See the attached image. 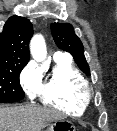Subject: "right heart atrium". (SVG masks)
Returning a JSON list of instances; mask_svg holds the SVG:
<instances>
[{"mask_svg":"<svg viewBox=\"0 0 117 131\" xmlns=\"http://www.w3.org/2000/svg\"><path fill=\"white\" fill-rule=\"evenodd\" d=\"M41 73L33 65L28 64L20 74V83L25 93L33 98L38 94L41 85Z\"/></svg>","mask_w":117,"mask_h":131,"instance_id":"1","label":"right heart atrium"}]
</instances>
